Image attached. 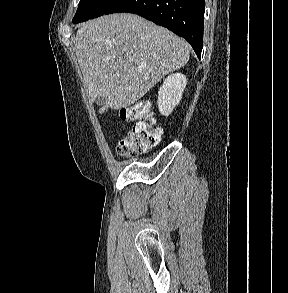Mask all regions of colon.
<instances>
[{"mask_svg": "<svg viewBox=\"0 0 288 293\" xmlns=\"http://www.w3.org/2000/svg\"><path fill=\"white\" fill-rule=\"evenodd\" d=\"M120 117L133 123L118 140L116 152L120 157L141 154L156 146L162 136V129L157 126L150 106L144 102L122 108Z\"/></svg>", "mask_w": 288, "mask_h": 293, "instance_id": "5ec220e1", "label": "colon"}]
</instances>
